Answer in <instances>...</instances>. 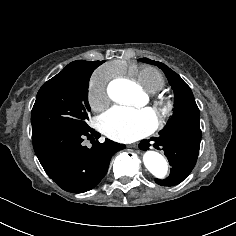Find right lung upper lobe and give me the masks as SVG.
Segmentation results:
<instances>
[{
    "label": "right lung upper lobe",
    "mask_w": 236,
    "mask_h": 236,
    "mask_svg": "<svg viewBox=\"0 0 236 236\" xmlns=\"http://www.w3.org/2000/svg\"><path fill=\"white\" fill-rule=\"evenodd\" d=\"M105 61H94L88 62L84 60L73 61L68 64L63 70H85V69H95Z\"/></svg>",
    "instance_id": "cb5924a9"
}]
</instances>
